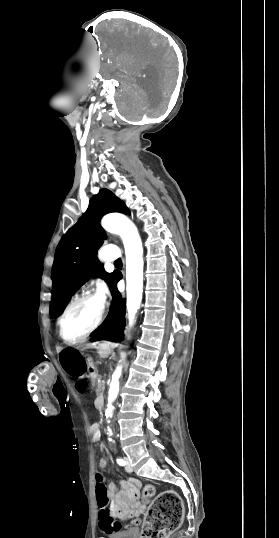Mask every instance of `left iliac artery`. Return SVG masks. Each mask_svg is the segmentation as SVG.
Segmentation results:
<instances>
[{"instance_id":"1","label":"left iliac artery","mask_w":279,"mask_h":538,"mask_svg":"<svg viewBox=\"0 0 279 538\" xmlns=\"http://www.w3.org/2000/svg\"><path fill=\"white\" fill-rule=\"evenodd\" d=\"M116 461L120 466H124L126 464L125 461L122 458H117Z\"/></svg>"}]
</instances>
